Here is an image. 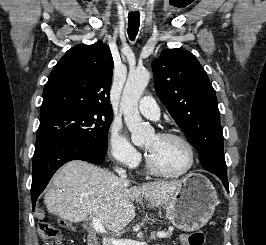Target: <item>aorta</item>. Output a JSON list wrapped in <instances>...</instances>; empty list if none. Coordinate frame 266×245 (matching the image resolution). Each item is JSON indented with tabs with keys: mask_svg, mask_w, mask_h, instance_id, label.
Masks as SVG:
<instances>
[{
	"mask_svg": "<svg viewBox=\"0 0 266 245\" xmlns=\"http://www.w3.org/2000/svg\"><path fill=\"white\" fill-rule=\"evenodd\" d=\"M149 78L150 72L146 68L129 72L121 96L120 108L123 110L126 127L131 133V141L134 145H145L148 137L154 135L152 127L143 123L138 110L139 98H141Z\"/></svg>",
	"mask_w": 266,
	"mask_h": 245,
	"instance_id": "aorta-1",
	"label": "aorta"
}]
</instances>
